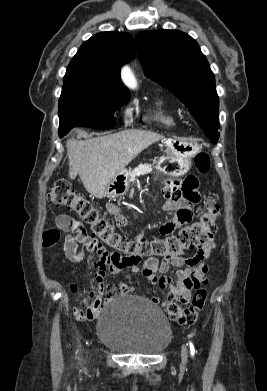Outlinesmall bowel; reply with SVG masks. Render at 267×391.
<instances>
[{
    "label": "small bowel",
    "mask_w": 267,
    "mask_h": 391,
    "mask_svg": "<svg viewBox=\"0 0 267 391\" xmlns=\"http://www.w3.org/2000/svg\"><path fill=\"white\" fill-rule=\"evenodd\" d=\"M164 184V194L169 199L164 209L172 212L173 217L161 225L160 233L162 236H169L176 228L193 222L194 209L201 198L198 192V181L195 177L189 176L183 181L166 178ZM106 210L113 216L118 226L126 225L127 220L117 205L109 203L106 205ZM56 224L60 230L67 233L64 240V251L67 258L71 261L81 260L82 254L79 246L87 248L88 240V234L82 223L69 215L61 214L57 217ZM138 239H142L140 234ZM215 247L214 239L210 238L193 256L166 259L161 263L144 264L143 266L126 265L118 254H97L90 263V273L85 280V284L90 289L88 298L80 307L75 308L74 315L80 321L92 320L102 308L104 300L110 301L118 295L131 294L133 288L125 283L107 287L103 283L107 273L118 274L124 270L141 274L158 284L160 288L167 290L166 300L153 297L152 302L165 304L168 300H176L187 303L190 300L191 292L207 283L208 265L206 260ZM172 267L179 268L175 271L174 277L157 276V272L165 274ZM72 289L75 290L76 287L73 286Z\"/></svg>",
    "instance_id": "obj_1"
}]
</instances>
